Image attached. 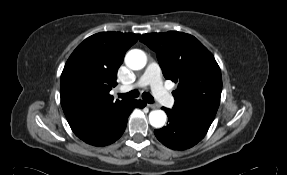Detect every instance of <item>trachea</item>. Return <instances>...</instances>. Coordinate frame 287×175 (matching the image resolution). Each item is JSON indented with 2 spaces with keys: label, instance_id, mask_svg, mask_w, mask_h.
Wrapping results in <instances>:
<instances>
[{
  "label": "trachea",
  "instance_id": "obj_1",
  "mask_svg": "<svg viewBox=\"0 0 287 175\" xmlns=\"http://www.w3.org/2000/svg\"><path fill=\"white\" fill-rule=\"evenodd\" d=\"M118 96L120 98L123 99H133V98H137L139 96V92L137 90H132L128 93H119ZM142 98L144 101H146L147 103L151 104L154 102V98L152 97V95L149 92H144L142 94Z\"/></svg>",
  "mask_w": 287,
  "mask_h": 175
}]
</instances>
